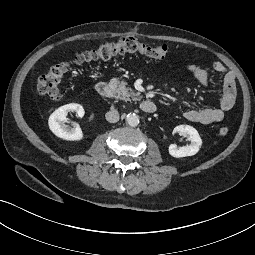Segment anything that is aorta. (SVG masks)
Instances as JSON below:
<instances>
[{
  "label": "aorta",
  "instance_id": "762f6f07",
  "mask_svg": "<svg viewBox=\"0 0 255 255\" xmlns=\"http://www.w3.org/2000/svg\"><path fill=\"white\" fill-rule=\"evenodd\" d=\"M126 122L131 127H136L139 124V116L135 113H129L126 117Z\"/></svg>",
  "mask_w": 255,
  "mask_h": 255
}]
</instances>
